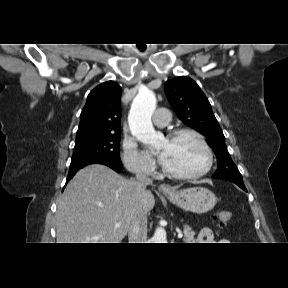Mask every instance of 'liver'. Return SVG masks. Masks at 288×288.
Returning a JSON list of instances; mask_svg holds the SVG:
<instances>
[{
    "label": "liver",
    "instance_id": "1",
    "mask_svg": "<svg viewBox=\"0 0 288 288\" xmlns=\"http://www.w3.org/2000/svg\"><path fill=\"white\" fill-rule=\"evenodd\" d=\"M154 205L153 193L137 181L105 165L86 166L68 183L58 202L57 243H120L134 219L147 215Z\"/></svg>",
    "mask_w": 288,
    "mask_h": 288
}]
</instances>
